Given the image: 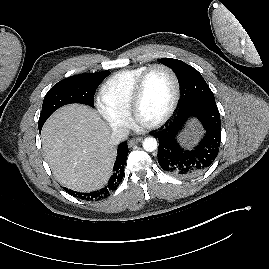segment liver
Returning a JSON list of instances; mask_svg holds the SVG:
<instances>
[{
	"mask_svg": "<svg viewBox=\"0 0 269 269\" xmlns=\"http://www.w3.org/2000/svg\"><path fill=\"white\" fill-rule=\"evenodd\" d=\"M110 130L98 113L71 104L56 111L42 129L45 158L60 184L76 191L101 188L116 158Z\"/></svg>",
	"mask_w": 269,
	"mask_h": 269,
	"instance_id": "liver-1",
	"label": "liver"
}]
</instances>
